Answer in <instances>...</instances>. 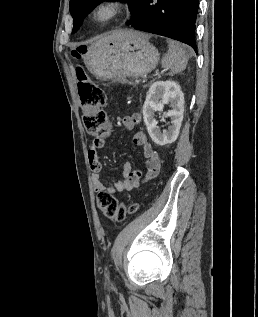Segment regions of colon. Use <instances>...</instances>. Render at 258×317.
Wrapping results in <instances>:
<instances>
[{
	"instance_id": "colon-1",
	"label": "colon",
	"mask_w": 258,
	"mask_h": 317,
	"mask_svg": "<svg viewBox=\"0 0 258 317\" xmlns=\"http://www.w3.org/2000/svg\"><path fill=\"white\" fill-rule=\"evenodd\" d=\"M81 50L73 51L75 58H80ZM77 87L81 103L82 120L87 133L95 138H105L110 133V124L104 111L105 94L93 84L82 68H77ZM97 207L102 214L115 221H124L137 210V205L119 202L112 194L100 192L97 195Z\"/></svg>"
}]
</instances>
